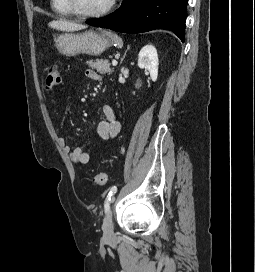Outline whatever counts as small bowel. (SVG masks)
<instances>
[{"label": "small bowel", "mask_w": 255, "mask_h": 272, "mask_svg": "<svg viewBox=\"0 0 255 272\" xmlns=\"http://www.w3.org/2000/svg\"><path fill=\"white\" fill-rule=\"evenodd\" d=\"M86 76L93 81L102 80V76L92 69L86 71ZM100 112L102 119L97 124L96 133L102 140H112L120 131V122L117 119L116 112L110 105H102ZM60 143L63 149L69 153L74 164H87L89 162V154L84 148L75 147L72 149L65 138H61Z\"/></svg>", "instance_id": "small-bowel-1"}]
</instances>
